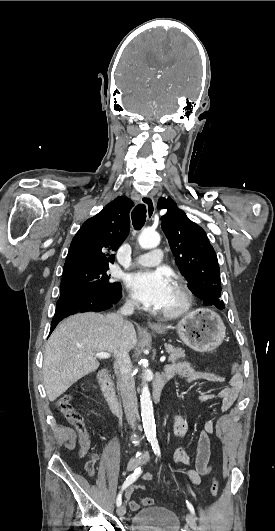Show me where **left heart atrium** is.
<instances>
[{
  "label": "left heart atrium",
  "mask_w": 275,
  "mask_h": 531,
  "mask_svg": "<svg viewBox=\"0 0 275 531\" xmlns=\"http://www.w3.org/2000/svg\"><path fill=\"white\" fill-rule=\"evenodd\" d=\"M126 283L135 298L145 306L159 308L172 284L164 269H146L129 274Z\"/></svg>",
  "instance_id": "39dd6f15"
}]
</instances>
